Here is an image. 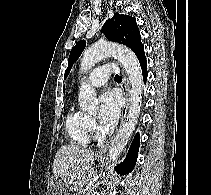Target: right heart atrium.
I'll list each match as a JSON object with an SVG mask.
<instances>
[{"label": "right heart atrium", "mask_w": 211, "mask_h": 195, "mask_svg": "<svg viewBox=\"0 0 211 195\" xmlns=\"http://www.w3.org/2000/svg\"><path fill=\"white\" fill-rule=\"evenodd\" d=\"M88 124H89V129H90V132L93 134V133H96L97 132V129H98V126H97V123H96V120L89 116L88 117Z\"/></svg>", "instance_id": "obj_1"}]
</instances>
